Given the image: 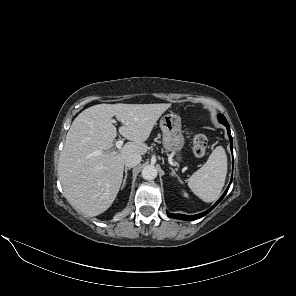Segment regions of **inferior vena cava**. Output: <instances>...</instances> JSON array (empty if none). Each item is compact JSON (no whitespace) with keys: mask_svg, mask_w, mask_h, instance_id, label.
<instances>
[{"mask_svg":"<svg viewBox=\"0 0 296 296\" xmlns=\"http://www.w3.org/2000/svg\"><path fill=\"white\" fill-rule=\"evenodd\" d=\"M141 155L139 154H131L129 156L126 157L124 164L126 167H134L137 166L140 162H141Z\"/></svg>","mask_w":296,"mask_h":296,"instance_id":"obj_1","label":"inferior vena cava"}]
</instances>
